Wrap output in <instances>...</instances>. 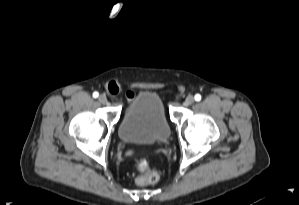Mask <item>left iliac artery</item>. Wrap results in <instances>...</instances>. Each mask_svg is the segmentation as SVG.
I'll list each match as a JSON object with an SVG mask.
<instances>
[{
  "label": "left iliac artery",
  "mask_w": 299,
  "mask_h": 205,
  "mask_svg": "<svg viewBox=\"0 0 299 205\" xmlns=\"http://www.w3.org/2000/svg\"><path fill=\"white\" fill-rule=\"evenodd\" d=\"M194 98H195L196 101H200L201 100V95L200 94H196Z\"/></svg>",
  "instance_id": "left-iliac-artery-1"
}]
</instances>
